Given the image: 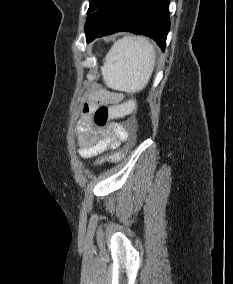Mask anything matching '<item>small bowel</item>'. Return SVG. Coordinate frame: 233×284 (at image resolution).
<instances>
[{
  "label": "small bowel",
  "instance_id": "c3829d8e",
  "mask_svg": "<svg viewBox=\"0 0 233 284\" xmlns=\"http://www.w3.org/2000/svg\"><path fill=\"white\" fill-rule=\"evenodd\" d=\"M122 96L108 91H96L90 94L82 107V114L78 121L77 147L83 158L97 156L107 150L114 149L128 137L131 132V122L125 125L111 124L107 128L95 127L92 113L98 105L115 106L120 104Z\"/></svg>",
  "mask_w": 233,
  "mask_h": 284
}]
</instances>
